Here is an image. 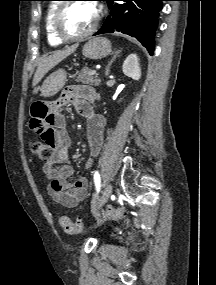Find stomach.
<instances>
[{"mask_svg": "<svg viewBox=\"0 0 216 285\" xmlns=\"http://www.w3.org/2000/svg\"><path fill=\"white\" fill-rule=\"evenodd\" d=\"M82 52L89 59H102L110 54L111 43L104 37H95L84 45ZM66 81L67 73L63 69L50 74L40 88L41 96L50 97L57 94L64 87Z\"/></svg>", "mask_w": 216, "mask_h": 285, "instance_id": "stomach-1", "label": "stomach"}]
</instances>
